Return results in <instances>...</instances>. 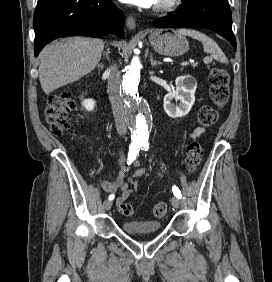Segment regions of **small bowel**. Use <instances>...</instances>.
<instances>
[{"mask_svg":"<svg viewBox=\"0 0 272 282\" xmlns=\"http://www.w3.org/2000/svg\"><path fill=\"white\" fill-rule=\"evenodd\" d=\"M202 127H198L193 130V132L190 134V138H195L199 136L203 132ZM125 154H121L120 157V165L122 167V172L115 175V177L111 181H101L102 188L107 193H116L118 189H120V195L116 199V204L119 206L122 204L134 191H136L139 188V183L135 178H131L129 180V184L124 183V173L123 171L126 170V161H125ZM133 165L136 167V171L134 173L135 176H141L145 173V168L141 166V164L135 160L133 162Z\"/></svg>","mask_w":272,"mask_h":282,"instance_id":"small-bowel-1","label":"small bowel"}]
</instances>
